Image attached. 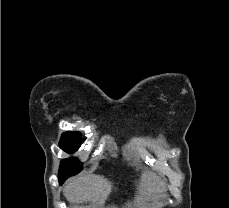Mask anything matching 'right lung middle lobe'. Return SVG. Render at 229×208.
<instances>
[{"instance_id": "dd1d6c3e", "label": "right lung middle lobe", "mask_w": 229, "mask_h": 208, "mask_svg": "<svg viewBox=\"0 0 229 208\" xmlns=\"http://www.w3.org/2000/svg\"><path fill=\"white\" fill-rule=\"evenodd\" d=\"M81 144V134L79 132L68 131L63 134L60 147L67 153L77 151ZM82 170V163L75 158H68L61 161L59 177H70Z\"/></svg>"}]
</instances>
